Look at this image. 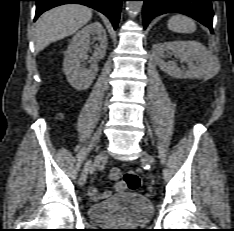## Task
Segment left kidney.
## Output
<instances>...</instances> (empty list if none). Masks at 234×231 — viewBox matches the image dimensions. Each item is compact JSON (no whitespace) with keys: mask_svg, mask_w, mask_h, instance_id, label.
I'll list each match as a JSON object with an SVG mask.
<instances>
[{"mask_svg":"<svg viewBox=\"0 0 234 231\" xmlns=\"http://www.w3.org/2000/svg\"><path fill=\"white\" fill-rule=\"evenodd\" d=\"M172 53L187 62L188 70L179 68L174 61L165 62V52ZM152 53L159 68L168 75L180 79H204L214 77L219 69L218 59L197 41H171L153 45Z\"/></svg>","mask_w":234,"mask_h":231,"instance_id":"5707ae66","label":"left kidney"}]
</instances>
